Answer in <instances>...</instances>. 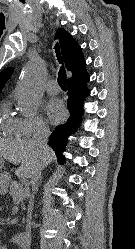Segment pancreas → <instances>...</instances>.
<instances>
[{"instance_id": "obj_1", "label": "pancreas", "mask_w": 135, "mask_h": 249, "mask_svg": "<svg viewBox=\"0 0 135 249\" xmlns=\"http://www.w3.org/2000/svg\"><path fill=\"white\" fill-rule=\"evenodd\" d=\"M21 193H24V196L19 199ZM9 194L12 196L14 203L18 204L29 196V191L28 189H23L20 183L13 181L9 188Z\"/></svg>"}]
</instances>
